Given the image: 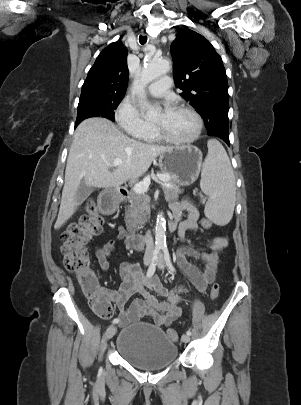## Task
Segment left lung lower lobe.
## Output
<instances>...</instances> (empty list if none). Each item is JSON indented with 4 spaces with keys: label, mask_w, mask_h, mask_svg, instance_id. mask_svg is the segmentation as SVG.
I'll return each mask as SVG.
<instances>
[{
    "label": "left lung lower lobe",
    "mask_w": 301,
    "mask_h": 405,
    "mask_svg": "<svg viewBox=\"0 0 301 405\" xmlns=\"http://www.w3.org/2000/svg\"><path fill=\"white\" fill-rule=\"evenodd\" d=\"M218 137L221 138L223 141H225L228 145H230L229 135L220 134V136H218Z\"/></svg>",
    "instance_id": "1"
}]
</instances>
